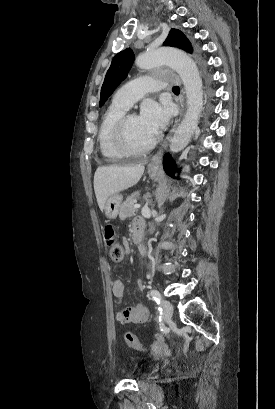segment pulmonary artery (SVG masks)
<instances>
[{"instance_id":"pulmonary-artery-1","label":"pulmonary artery","mask_w":275,"mask_h":409,"mask_svg":"<svg viewBox=\"0 0 275 409\" xmlns=\"http://www.w3.org/2000/svg\"><path fill=\"white\" fill-rule=\"evenodd\" d=\"M164 85L163 80L152 79L145 75H142L140 79H130L129 85L118 86V92L113 97V103L128 110L142 94H151L153 88H160Z\"/></svg>"}]
</instances>
